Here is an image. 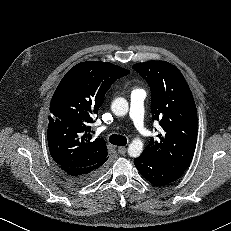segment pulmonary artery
I'll list each match as a JSON object with an SVG mask.
<instances>
[{
	"mask_svg": "<svg viewBox=\"0 0 231 231\" xmlns=\"http://www.w3.org/2000/svg\"><path fill=\"white\" fill-rule=\"evenodd\" d=\"M146 93L142 89H135L130 95L129 118L142 136H148L150 131L144 126V100Z\"/></svg>",
	"mask_w": 231,
	"mask_h": 231,
	"instance_id": "pulmonary-artery-1",
	"label": "pulmonary artery"
}]
</instances>
